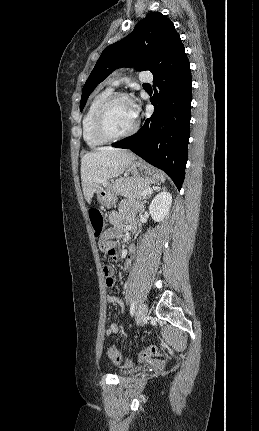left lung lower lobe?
<instances>
[{"label":"left lung lower lobe","mask_w":259,"mask_h":431,"mask_svg":"<svg viewBox=\"0 0 259 431\" xmlns=\"http://www.w3.org/2000/svg\"><path fill=\"white\" fill-rule=\"evenodd\" d=\"M152 73L154 113L138 133L112 146L130 149L162 169L180 190L188 158L192 101L190 65L181 39Z\"/></svg>","instance_id":"0a47b994"}]
</instances>
